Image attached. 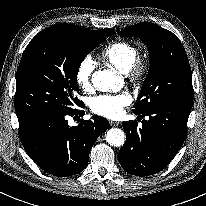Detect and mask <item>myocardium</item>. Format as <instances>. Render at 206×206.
I'll return each instance as SVG.
<instances>
[{
    "mask_svg": "<svg viewBox=\"0 0 206 206\" xmlns=\"http://www.w3.org/2000/svg\"><path fill=\"white\" fill-rule=\"evenodd\" d=\"M150 69V59L147 55L137 54L133 64L129 70L131 78L134 81L142 80L148 73Z\"/></svg>",
    "mask_w": 206,
    "mask_h": 206,
    "instance_id": "1",
    "label": "myocardium"
}]
</instances>
